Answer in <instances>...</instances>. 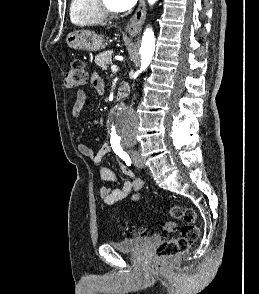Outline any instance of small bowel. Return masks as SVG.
I'll use <instances>...</instances> for the list:
<instances>
[{"label":"small bowel","mask_w":259,"mask_h":294,"mask_svg":"<svg viewBox=\"0 0 259 294\" xmlns=\"http://www.w3.org/2000/svg\"><path fill=\"white\" fill-rule=\"evenodd\" d=\"M91 83L94 90L98 94H103L104 84L101 78L97 74H93L91 78ZM88 95L85 91H78L76 94V99L72 105V116L78 118L87 102ZM76 128L73 129V132ZM78 151L90 159L95 165L99 166V175L101 180L107 182H121V187L119 188H108L102 187L100 189V196L104 205L111 206L117 202L125 199L129 195L134 201L138 200L143 188V181L141 179L133 180H123L120 181L118 175L108 167L102 166L101 162L103 158L111 153V146L109 144H104L98 151H94L90 146L86 144H79ZM120 169L122 173L128 177H133L132 171L125 165L120 164Z\"/></svg>","instance_id":"1"}]
</instances>
